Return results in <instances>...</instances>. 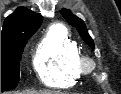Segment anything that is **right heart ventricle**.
Masks as SVG:
<instances>
[{
	"label": "right heart ventricle",
	"mask_w": 121,
	"mask_h": 94,
	"mask_svg": "<svg viewBox=\"0 0 121 94\" xmlns=\"http://www.w3.org/2000/svg\"><path fill=\"white\" fill-rule=\"evenodd\" d=\"M80 56V48L68 30L63 25H54L39 41L33 56V67L46 86L65 88L79 78Z\"/></svg>",
	"instance_id": "e07e8e85"
}]
</instances>
